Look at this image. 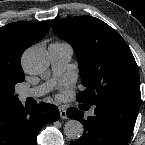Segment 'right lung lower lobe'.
Instances as JSON below:
<instances>
[{
    "instance_id": "98d812e1",
    "label": "right lung lower lobe",
    "mask_w": 145,
    "mask_h": 145,
    "mask_svg": "<svg viewBox=\"0 0 145 145\" xmlns=\"http://www.w3.org/2000/svg\"><path fill=\"white\" fill-rule=\"evenodd\" d=\"M60 117L53 104L40 102L24 107L19 100L0 103V145H37V135L47 123Z\"/></svg>"
}]
</instances>
